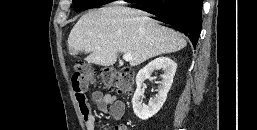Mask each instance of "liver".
I'll return each mask as SVG.
<instances>
[{
  "instance_id": "liver-1",
  "label": "liver",
  "mask_w": 257,
  "mask_h": 130,
  "mask_svg": "<svg viewBox=\"0 0 257 130\" xmlns=\"http://www.w3.org/2000/svg\"><path fill=\"white\" fill-rule=\"evenodd\" d=\"M186 40L172 29L161 26L146 12L125 7H104L89 11L72 28L68 37L71 55L89 54L85 60L112 66L118 53L132 55L130 66H138L158 55L186 47Z\"/></svg>"
}]
</instances>
